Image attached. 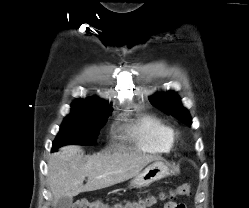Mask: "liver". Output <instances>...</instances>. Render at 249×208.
I'll list each match as a JSON object with an SVG mask.
<instances>
[{
    "label": "liver",
    "mask_w": 249,
    "mask_h": 208,
    "mask_svg": "<svg viewBox=\"0 0 249 208\" xmlns=\"http://www.w3.org/2000/svg\"><path fill=\"white\" fill-rule=\"evenodd\" d=\"M159 157L145 154H121L100 152L84 156L76 145H68L51 155L48 161V183L54 197V205L61 197L81 192L103 189L132 177ZM87 183L83 185L85 178Z\"/></svg>",
    "instance_id": "1"
}]
</instances>
